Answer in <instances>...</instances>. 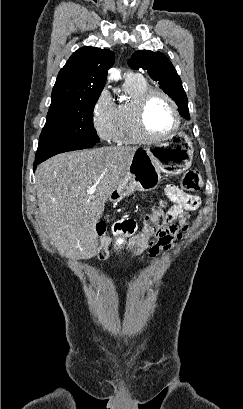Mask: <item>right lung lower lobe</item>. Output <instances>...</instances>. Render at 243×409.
<instances>
[{
  "mask_svg": "<svg viewBox=\"0 0 243 409\" xmlns=\"http://www.w3.org/2000/svg\"><path fill=\"white\" fill-rule=\"evenodd\" d=\"M96 144V142H72V143H39L37 153L35 156V163H34V171L36 169L37 164L45 161L46 159L50 158L59 153L80 150L92 147Z\"/></svg>",
  "mask_w": 243,
  "mask_h": 409,
  "instance_id": "98d812e1",
  "label": "right lung lower lobe"
}]
</instances>
